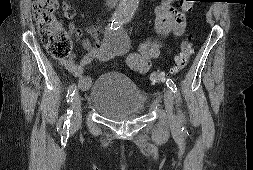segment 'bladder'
<instances>
[{
	"instance_id": "1",
	"label": "bladder",
	"mask_w": 253,
	"mask_h": 170,
	"mask_svg": "<svg viewBox=\"0 0 253 170\" xmlns=\"http://www.w3.org/2000/svg\"><path fill=\"white\" fill-rule=\"evenodd\" d=\"M88 104L102 116L119 121L143 113L147 98L126 74L106 71L93 82Z\"/></svg>"
}]
</instances>
